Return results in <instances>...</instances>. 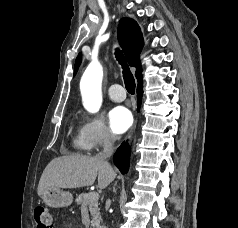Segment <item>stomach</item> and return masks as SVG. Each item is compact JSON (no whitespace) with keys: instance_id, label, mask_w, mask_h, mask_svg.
Here are the masks:
<instances>
[{"instance_id":"stomach-1","label":"stomach","mask_w":238,"mask_h":228,"mask_svg":"<svg viewBox=\"0 0 238 228\" xmlns=\"http://www.w3.org/2000/svg\"><path fill=\"white\" fill-rule=\"evenodd\" d=\"M42 199L49 207L58 208L71 205L73 202V195L60 188L49 187L44 191Z\"/></svg>"}]
</instances>
